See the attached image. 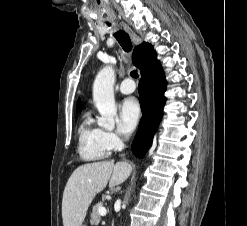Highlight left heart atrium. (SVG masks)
<instances>
[{"instance_id":"left-heart-atrium-1","label":"left heart atrium","mask_w":247,"mask_h":226,"mask_svg":"<svg viewBox=\"0 0 247 226\" xmlns=\"http://www.w3.org/2000/svg\"><path fill=\"white\" fill-rule=\"evenodd\" d=\"M141 109L135 98H127L123 101L120 111V128L123 132H131L137 125Z\"/></svg>"}]
</instances>
